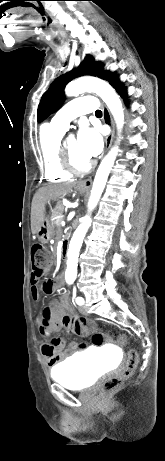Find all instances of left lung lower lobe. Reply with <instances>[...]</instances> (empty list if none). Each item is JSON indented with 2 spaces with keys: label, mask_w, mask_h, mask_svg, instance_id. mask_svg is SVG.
Listing matches in <instances>:
<instances>
[{
  "label": "left lung lower lobe",
  "mask_w": 165,
  "mask_h": 461,
  "mask_svg": "<svg viewBox=\"0 0 165 461\" xmlns=\"http://www.w3.org/2000/svg\"><path fill=\"white\" fill-rule=\"evenodd\" d=\"M110 84L117 90V92H118L121 96H123L124 98L127 97V96H126V94H127L126 88L123 87V84L119 81L118 77H115V78L113 79V81H112Z\"/></svg>",
  "instance_id": "0a47b994"
}]
</instances>
